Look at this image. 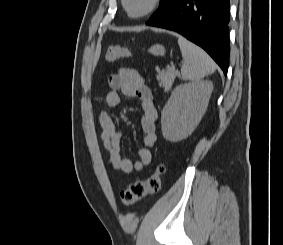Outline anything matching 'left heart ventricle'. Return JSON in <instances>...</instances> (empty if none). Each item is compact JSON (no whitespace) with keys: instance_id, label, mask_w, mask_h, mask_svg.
I'll return each instance as SVG.
<instances>
[{"instance_id":"left-heart-ventricle-1","label":"left heart ventricle","mask_w":283,"mask_h":245,"mask_svg":"<svg viewBox=\"0 0 283 245\" xmlns=\"http://www.w3.org/2000/svg\"><path fill=\"white\" fill-rule=\"evenodd\" d=\"M152 0H127V7L132 14H139L146 10Z\"/></svg>"}]
</instances>
